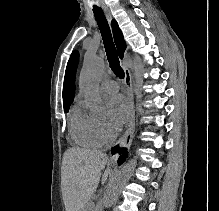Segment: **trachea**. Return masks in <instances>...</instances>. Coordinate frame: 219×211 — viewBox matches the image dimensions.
<instances>
[{
    "mask_svg": "<svg viewBox=\"0 0 219 211\" xmlns=\"http://www.w3.org/2000/svg\"><path fill=\"white\" fill-rule=\"evenodd\" d=\"M94 16L97 21V25L99 27L102 40L104 42V48L106 51L107 59L110 64V68L112 69L113 73L119 78H124L125 74L123 69L119 64V59L117 56V51L113 42L112 34L110 31V27L104 15L102 8L98 6H94L93 8Z\"/></svg>",
    "mask_w": 219,
    "mask_h": 211,
    "instance_id": "3493384b",
    "label": "trachea"
}]
</instances>
